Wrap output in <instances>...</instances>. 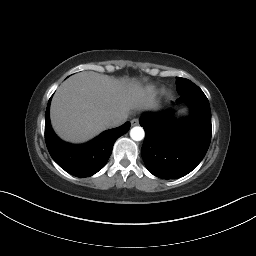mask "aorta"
<instances>
[{
    "label": "aorta",
    "instance_id": "aorta-1",
    "mask_svg": "<svg viewBox=\"0 0 256 256\" xmlns=\"http://www.w3.org/2000/svg\"><path fill=\"white\" fill-rule=\"evenodd\" d=\"M145 136L144 129L140 126H135L130 131V137L134 141H141Z\"/></svg>",
    "mask_w": 256,
    "mask_h": 256
}]
</instances>
